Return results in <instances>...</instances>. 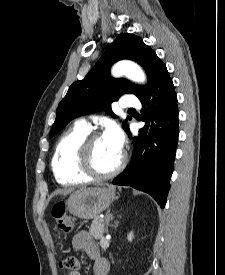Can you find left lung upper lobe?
<instances>
[{
	"instance_id": "1",
	"label": "left lung upper lobe",
	"mask_w": 225,
	"mask_h": 275,
	"mask_svg": "<svg viewBox=\"0 0 225 275\" xmlns=\"http://www.w3.org/2000/svg\"><path fill=\"white\" fill-rule=\"evenodd\" d=\"M122 59H130L140 64L148 76V85L139 86L123 78H112L110 75L112 64ZM165 69L164 63L141 38L128 33L118 35L85 78L69 87L57 108L49 138L57 134L72 119L84 114L105 110L107 114L116 117L111 109V102L116 101L124 93L141 97ZM122 127L125 131L129 129L126 124Z\"/></svg>"
}]
</instances>
